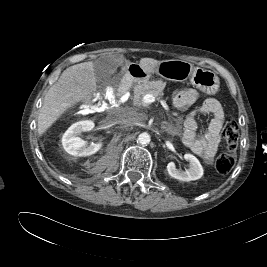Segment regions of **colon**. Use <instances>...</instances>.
Wrapping results in <instances>:
<instances>
[{"mask_svg": "<svg viewBox=\"0 0 267 267\" xmlns=\"http://www.w3.org/2000/svg\"><path fill=\"white\" fill-rule=\"evenodd\" d=\"M222 136L226 142L229 152L220 154L215 162L217 171L221 174L229 173L235 165V151L238 146L239 127L234 120H228L222 131Z\"/></svg>", "mask_w": 267, "mask_h": 267, "instance_id": "obj_1", "label": "colon"}]
</instances>
